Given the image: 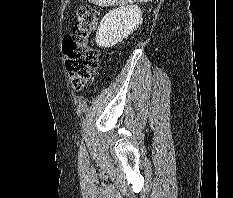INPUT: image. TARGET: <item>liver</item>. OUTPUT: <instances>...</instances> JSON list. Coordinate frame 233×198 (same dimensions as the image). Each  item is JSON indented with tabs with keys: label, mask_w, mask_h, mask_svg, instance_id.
<instances>
[{
	"label": "liver",
	"mask_w": 233,
	"mask_h": 198,
	"mask_svg": "<svg viewBox=\"0 0 233 198\" xmlns=\"http://www.w3.org/2000/svg\"><path fill=\"white\" fill-rule=\"evenodd\" d=\"M90 3H93L99 7H109V6H124L126 4L132 3H146L151 2L152 0H88Z\"/></svg>",
	"instance_id": "1"
}]
</instances>
